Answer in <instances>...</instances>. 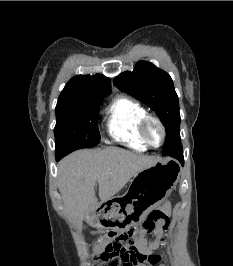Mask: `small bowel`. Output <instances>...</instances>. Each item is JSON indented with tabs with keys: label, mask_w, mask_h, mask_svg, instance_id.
I'll use <instances>...</instances> for the list:
<instances>
[{
	"label": "small bowel",
	"mask_w": 233,
	"mask_h": 266,
	"mask_svg": "<svg viewBox=\"0 0 233 266\" xmlns=\"http://www.w3.org/2000/svg\"><path fill=\"white\" fill-rule=\"evenodd\" d=\"M162 211L168 216L170 213V204L167 203L163 206ZM167 227H163L162 224H158L153 230L155 235V240L149 242L145 237V231L141 229H135L134 231V242L137 251L145 256L143 263L148 261L151 265H156L160 262L161 257L156 254V251L160 246L164 244L165 241V232ZM105 242L100 241L94 246V253L96 255V259L100 261H110V266H123L119 260H109L104 256V248ZM143 263L137 266H144Z\"/></svg>",
	"instance_id": "1"
}]
</instances>
